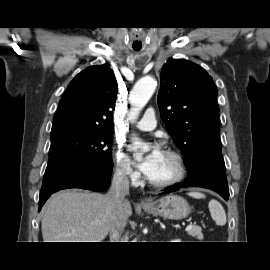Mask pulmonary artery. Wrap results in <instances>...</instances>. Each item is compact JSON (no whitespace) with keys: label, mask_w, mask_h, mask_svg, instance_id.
Masks as SVG:
<instances>
[{"label":"pulmonary artery","mask_w":270,"mask_h":270,"mask_svg":"<svg viewBox=\"0 0 270 270\" xmlns=\"http://www.w3.org/2000/svg\"><path fill=\"white\" fill-rule=\"evenodd\" d=\"M136 127L143 131H151L156 127L155 111L149 108L145 111L141 120L136 123Z\"/></svg>","instance_id":"1"}]
</instances>
